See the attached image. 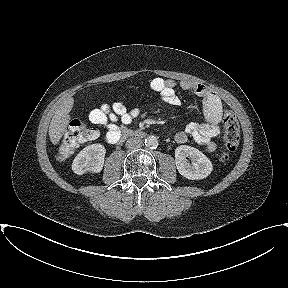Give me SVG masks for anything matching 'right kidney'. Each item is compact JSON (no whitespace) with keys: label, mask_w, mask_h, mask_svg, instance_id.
<instances>
[{"label":"right kidney","mask_w":288,"mask_h":288,"mask_svg":"<svg viewBox=\"0 0 288 288\" xmlns=\"http://www.w3.org/2000/svg\"><path fill=\"white\" fill-rule=\"evenodd\" d=\"M106 149L102 144L85 147L73 160L72 170L78 175L86 172L99 173L104 165Z\"/></svg>","instance_id":"right-kidney-1"}]
</instances>
